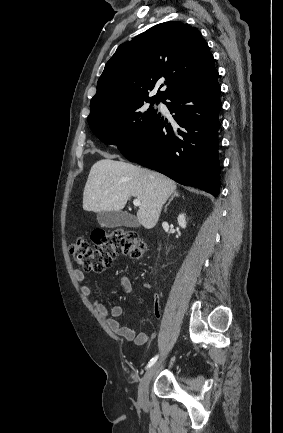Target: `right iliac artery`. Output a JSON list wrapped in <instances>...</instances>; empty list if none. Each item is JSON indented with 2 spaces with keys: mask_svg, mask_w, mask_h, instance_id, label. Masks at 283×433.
I'll use <instances>...</instances> for the list:
<instances>
[{
  "mask_svg": "<svg viewBox=\"0 0 283 433\" xmlns=\"http://www.w3.org/2000/svg\"><path fill=\"white\" fill-rule=\"evenodd\" d=\"M157 359H158V355H156L155 357H153V358L149 361V363H148V365H147L146 368L151 367V366H152V365L157 361Z\"/></svg>",
  "mask_w": 283,
  "mask_h": 433,
  "instance_id": "right-iliac-artery-1",
  "label": "right iliac artery"
}]
</instances>
